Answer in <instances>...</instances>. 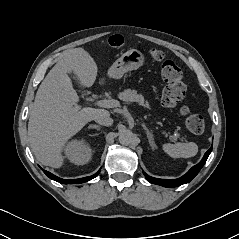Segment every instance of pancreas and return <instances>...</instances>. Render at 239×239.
Returning <instances> with one entry per match:
<instances>
[{
	"label": "pancreas",
	"mask_w": 239,
	"mask_h": 239,
	"mask_svg": "<svg viewBox=\"0 0 239 239\" xmlns=\"http://www.w3.org/2000/svg\"><path fill=\"white\" fill-rule=\"evenodd\" d=\"M119 98L125 102H136L146 108H149L148 102L145 101L141 94H138L136 90L127 89L119 94Z\"/></svg>",
	"instance_id": "pancreas-1"
}]
</instances>
